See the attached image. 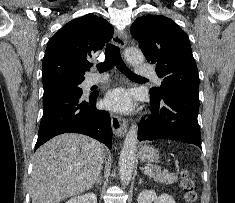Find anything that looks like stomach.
<instances>
[{"label":"stomach","instance_id":"1","mask_svg":"<svg viewBox=\"0 0 235 203\" xmlns=\"http://www.w3.org/2000/svg\"><path fill=\"white\" fill-rule=\"evenodd\" d=\"M139 154L140 158L145 162H155L159 158L158 150L150 145L142 146Z\"/></svg>","mask_w":235,"mask_h":203}]
</instances>
